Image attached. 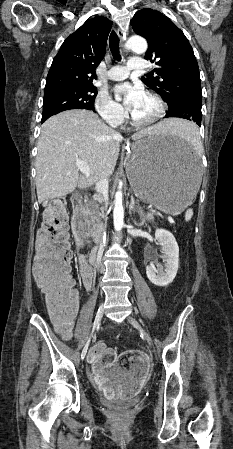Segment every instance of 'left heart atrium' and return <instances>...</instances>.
Wrapping results in <instances>:
<instances>
[{
    "label": "left heart atrium",
    "instance_id": "1",
    "mask_svg": "<svg viewBox=\"0 0 233 449\" xmlns=\"http://www.w3.org/2000/svg\"><path fill=\"white\" fill-rule=\"evenodd\" d=\"M115 92L121 94L125 98V104L130 113H134L145 97V92L130 83H124L115 88Z\"/></svg>",
    "mask_w": 233,
    "mask_h": 449
}]
</instances>
